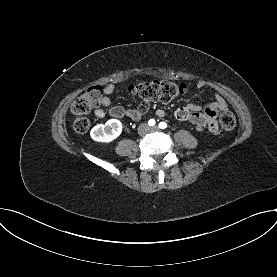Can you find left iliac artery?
<instances>
[{"mask_svg": "<svg viewBox=\"0 0 277 277\" xmlns=\"http://www.w3.org/2000/svg\"><path fill=\"white\" fill-rule=\"evenodd\" d=\"M167 127V124L165 122H160L159 123V128L165 129Z\"/></svg>", "mask_w": 277, "mask_h": 277, "instance_id": "44dca946", "label": "left iliac artery"}]
</instances>
